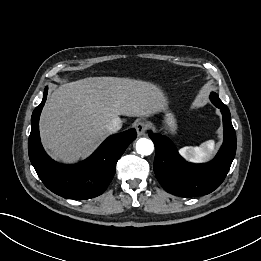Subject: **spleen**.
I'll return each instance as SVG.
<instances>
[{
  "mask_svg": "<svg viewBox=\"0 0 261 261\" xmlns=\"http://www.w3.org/2000/svg\"><path fill=\"white\" fill-rule=\"evenodd\" d=\"M215 148L212 140L203 142L198 146H186L179 150L181 156L193 163H201L211 158Z\"/></svg>",
  "mask_w": 261,
  "mask_h": 261,
  "instance_id": "obj_1",
  "label": "spleen"
}]
</instances>
